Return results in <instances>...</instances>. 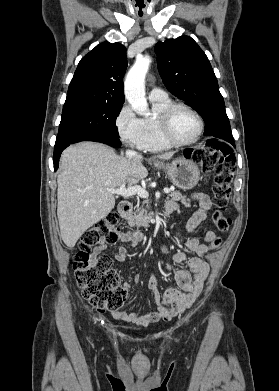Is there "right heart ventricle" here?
Here are the masks:
<instances>
[{
    "instance_id": "obj_1",
    "label": "right heart ventricle",
    "mask_w": 279,
    "mask_h": 391,
    "mask_svg": "<svg viewBox=\"0 0 279 391\" xmlns=\"http://www.w3.org/2000/svg\"><path fill=\"white\" fill-rule=\"evenodd\" d=\"M155 115L142 119L143 136L141 149L150 152H160L172 148V145L167 143L162 136L158 117L160 113L168 107L172 102L167 97L162 100H151Z\"/></svg>"
}]
</instances>
